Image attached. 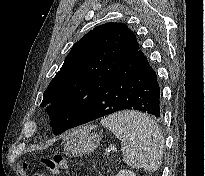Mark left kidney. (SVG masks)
I'll list each match as a JSON object with an SVG mask.
<instances>
[{
	"instance_id": "1",
	"label": "left kidney",
	"mask_w": 205,
	"mask_h": 176,
	"mask_svg": "<svg viewBox=\"0 0 205 176\" xmlns=\"http://www.w3.org/2000/svg\"><path fill=\"white\" fill-rule=\"evenodd\" d=\"M116 176H136V174L130 170H121Z\"/></svg>"
}]
</instances>
